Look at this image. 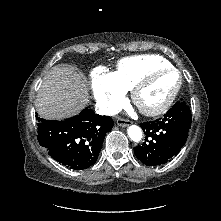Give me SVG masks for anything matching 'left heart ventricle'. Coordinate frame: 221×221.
Returning a JSON list of instances; mask_svg holds the SVG:
<instances>
[{
	"instance_id": "left-heart-ventricle-1",
	"label": "left heart ventricle",
	"mask_w": 221,
	"mask_h": 221,
	"mask_svg": "<svg viewBox=\"0 0 221 221\" xmlns=\"http://www.w3.org/2000/svg\"><path fill=\"white\" fill-rule=\"evenodd\" d=\"M177 84L175 73L158 76L139 96V102L145 107H156L163 103Z\"/></svg>"
}]
</instances>
